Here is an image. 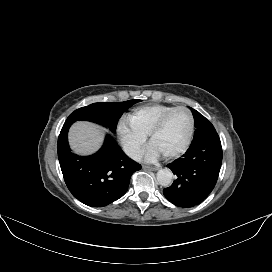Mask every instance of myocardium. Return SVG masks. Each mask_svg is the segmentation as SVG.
<instances>
[{
    "instance_id": "1",
    "label": "myocardium",
    "mask_w": 272,
    "mask_h": 272,
    "mask_svg": "<svg viewBox=\"0 0 272 272\" xmlns=\"http://www.w3.org/2000/svg\"><path fill=\"white\" fill-rule=\"evenodd\" d=\"M184 111L187 113L188 117H189V132L187 135V138L185 140V142L183 143V145L178 148L177 150L165 154L163 155L164 158L166 159H173L176 158L178 156H180L181 154H183L190 146L193 136H194V131H195V120H194V116L192 114V112L185 106H177V107H173L172 109H170L169 111H167L166 113H164L155 123V125L153 126V128L151 129L150 133H149V142H152V139L154 138V136L161 131V129L163 128V126L165 125L167 119L169 118V116L171 114H173L176 111Z\"/></svg>"
}]
</instances>
